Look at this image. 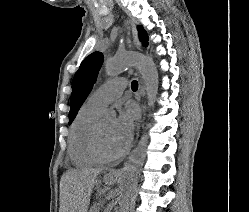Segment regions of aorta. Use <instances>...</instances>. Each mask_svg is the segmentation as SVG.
I'll use <instances>...</instances> for the list:
<instances>
[{
	"label": "aorta",
	"mask_w": 249,
	"mask_h": 212,
	"mask_svg": "<svg viewBox=\"0 0 249 212\" xmlns=\"http://www.w3.org/2000/svg\"><path fill=\"white\" fill-rule=\"evenodd\" d=\"M135 66L145 83L148 106L153 107L158 93V71L154 61L138 52L118 54L106 62L105 69L108 76H116L125 69ZM113 115V111H108ZM147 129V128H146ZM148 134L145 132L138 146L129 157V162L123 169L119 193V212H129L135 197L137 181L144 164L147 152Z\"/></svg>",
	"instance_id": "762f6f07"
}]
</instances>
